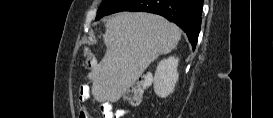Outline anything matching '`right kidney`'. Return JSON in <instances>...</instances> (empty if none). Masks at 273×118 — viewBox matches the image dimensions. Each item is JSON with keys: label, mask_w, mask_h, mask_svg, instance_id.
I'll return each mask as SVG.
<instances>
[{"label": "right kidney", "mask_w": 273, "mask_h": 118, "mask_svg": "<svg viewBox=\"0 0 273 118\" xmlns=\"http://www.w3.org/2000/svg\"><path fill=\"white\" fill-rule=\"evenodd\" d=\"M178 63L179 59L174 56L159 62L154 75V91L158 96L166 97L174 91L179 78Z\"/></svg>", "instance_id": "obj_1"}]
</instances>
